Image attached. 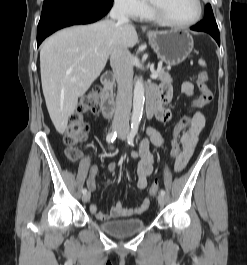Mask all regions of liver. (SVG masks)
<instances>
[{
    "label": "liver",
    "instance_id": "1",
    "mask_svg": "<svg viewBox=\"0 0 247 265\" xmlns=\"http://www.w3.org/2000/svg\"><path fill=\"white\" fill-rule=\"evenodd\" d=\"M138 36L132 24L105 19L50 36L40 50L43 94L56 130L63 134L83 96L103 71L114 47L131 48Z\"/></svg>",
    "mask_w": 247,
    "mask_h": 265
}]
</instances>
